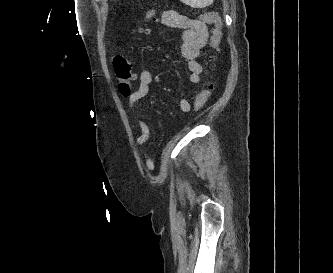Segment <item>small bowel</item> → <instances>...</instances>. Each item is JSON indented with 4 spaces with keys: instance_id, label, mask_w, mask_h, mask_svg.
Masks as SVG:
<instances>
[{
    "instance_id": "small-bowel-1",
    "label": "small bowel",
    "mask_w": 333,
    "mask_h": 273,
    "mask_svg": "<svg viewBox=\"0 0 333 273\" xmlns=\"http://www.w3.org/2000/svg\"><path fill=\"white\" fill-rule=\"evenodd\" d=\"M158 15L160 22L165 26L183 31L178 38L180 52L187 63L190 82L199 83L203 67L198 61V57L208 40L207 25L201 20L190 18L174 10H160ZM138 78L139 86L127 96V101L131 116L140 131L136 143L142 147L149 138L150 130L147 123L139 115L136 104L150 93L153 74L149 69L144 68L140 71ZM179 108L183 112H189L193 108V103L187 98H181ZM143 160L148 170L154 168L153 160L147 152H143Z\"/></svg>"
}]
</instances>
